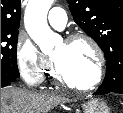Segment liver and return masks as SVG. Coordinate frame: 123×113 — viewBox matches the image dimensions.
<instances>
[{"mask_svg":"<svg viewBox=\"0 0 123 113\" xmlns=\"http://www.w3.org/2000/svg\"><path fill=\"white\" fill-rule=\"evenodd\" d=\"M71 100L65 95L38 93L16 87L1 88V113H49Z\"/></svg>","mask_w":123,"mask_h":113,"instance_id":"obj_1","label":"liver"}]
</instances>
